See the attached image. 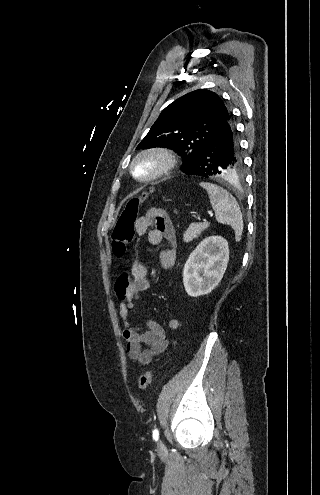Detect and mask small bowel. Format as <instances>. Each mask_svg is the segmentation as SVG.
<instances>
[{
  "label": "small bowel",
  "instance_id": "c3829d8e",
  "mask_svg": "<svg viewBox=\"0 0 320 495\" xmlns=\"http://www.w3.org/2000/svg\"><path fill=\"white\" fill-rule=\"evenodd\" d=\"M135 230L139 236L146 234L149 243L153 246L160 245L164 239L173 245L176 242L173 223L166 211L160 208H151L139 217L135 222ZM159 259L164 270L173 268L176 260L175 249L161 250ZM148 286L147 268L139 260L132 262L129 274L123 272L116 280V297L120 316L124 321L122 336L125 340L127 354L136 365L151 364L156 356L167 350L169 345L161 324L148 320L146 328L142 330L133 326L129 320L130 313L134 309V302ZM167 325L170 330H176L180 327V320L172 318Z\"/></svg>",
  "mask_w": 320,
  "mask_h": 495
}]
</instances>
